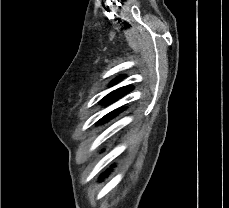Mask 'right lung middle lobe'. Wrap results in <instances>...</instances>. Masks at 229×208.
Listing matches in <instances>:
<instances>
[{
    "label": "right lung middle lobe",
    "instance_id": "dd1d6c3e",
    "mask_svg": "<svg viewBox=\"0 0 229 208\" xmlns=\"http://www.w3.org/2000/svg\"><path fill=\"white\" fill-rule=\"evenodd\" d=\"M112 102H114V101H101L100 104L107 105V104H111ZM121 111H122L121 108L116 109V110L108 113L107 115H105L100 121L101 122H106L109 119L113 118L114 116L118 115V113L121 112Z\"/></svg>",
    "mask_w": 229,
    "mask_h": 208
}]
</instances>
